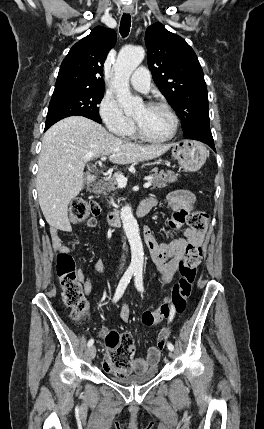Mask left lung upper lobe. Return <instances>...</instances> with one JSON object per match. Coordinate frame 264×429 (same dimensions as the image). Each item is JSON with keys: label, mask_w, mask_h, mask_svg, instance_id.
Returning <instances> with one entry per match:
<instances>
[{"label": "left lung upper lobe", "mask_w": 264, "mask_h": 429, "mask_svg": "<svg viewBox=\"0 0 264 429\" xmlns=\"http://www.w3.org/2000/svg\"><path fill=\"white\" fill-rule=\"evenodd\" d=\"M145 43L153 80L180 117L184 137L210 129L207 87L193 49L161 23L147 28Z\"/></svg>", "instance_id": "left-lung-upper-lobe-1"}]
</instances>
